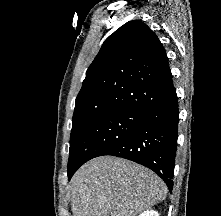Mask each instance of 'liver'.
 <instances>
[{
  "mask_svg": "<svg viewBox=\"0 0 221 216\" xmlns=\"http://www.w3.org/2000/svg\"><path fill=\"white\" fill-rule=\"evenodd\" d=\"M167 192L154 172L111 156L84 164L69 186L72 216H136L163 201Z\"/></svg>",
  "mask_w": 221,
  "mask_h": 216,
  "instance_id": "obj_1",
  "label": "liver"
}]
</instances>
